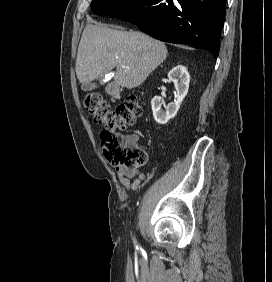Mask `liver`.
Segmentation results:
<instances>
[{
    "label": "liver",
    "mask_w": 272,
    "mask_h": 282,
    "mask_svg": "<svg viewBox=\"0 0 272 282\" xmlns=\"http://www.w3.org/2000/svg\"><path fill=\"white\" fill-rule=\"evenodd\" d=\"M167 55L164 43L144 33L88 24L78 47L76 75L83 86L116 68L115 84L132 89L141 85Z\"/></svg>",
    "instance_id": "1"
}]
</instances>
